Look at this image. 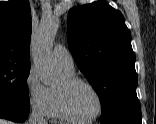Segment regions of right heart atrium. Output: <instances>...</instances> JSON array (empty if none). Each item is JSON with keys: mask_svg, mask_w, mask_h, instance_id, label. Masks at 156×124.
I'll use <instances>...</instances> for the list:
<instances>
[{"mask_svg": "<svg viewBox=\"0 0 156 124\" xmlns=\"http://www.w3.org/2000/svg\"><path fill=\"white\" fill-rule=\"evenodd\" d=\"M25 90L30 107L40 116L50 117L52 111L51 91L41 82L34 68H31L27 74Z\"/></svg>", "mask_w": 156, "mask_h": 124, "instance_id": "obj_1", "label": "right heart atrium"}]
</instances>
